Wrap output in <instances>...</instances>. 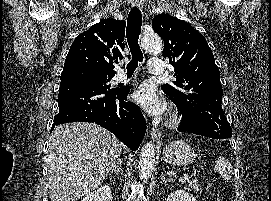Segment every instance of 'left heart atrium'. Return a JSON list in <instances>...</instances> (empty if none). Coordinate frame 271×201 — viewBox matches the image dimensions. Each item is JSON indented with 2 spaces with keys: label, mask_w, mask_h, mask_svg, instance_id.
I'll list each match as a JSON object with an SVG mask.
<instances>
[{
  "label": "left heart atrium",
  "mask_w": 271,
  "mask_h": 201,
  "mask_svg": "<svg viewBox=\"0 0 271 201\" xmlns=\"http://www.w3.org/2000/svg\"><path fill=\"white\" fill-rule=\"evenodd\" d=\"M134 101L150 115L158 116L165 111L163 100L149 83H143L133 95Z\"/></svg>",
  "instance_id": "1"
}]
</instances>
